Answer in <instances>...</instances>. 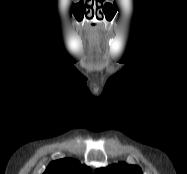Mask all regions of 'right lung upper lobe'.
I'll return each mask as SVG.
<instances>
[{
	"label": "right lung upper lobe",
	"mask_w": 187,
	"mask_h": 174,
	"mask_svg": "<svg viewBox=\"0 0 187 174\" xmlns=\"http://www.w3.org/2000/svg\"><path fill=\"white\" fill-rule=\"evenodd\" d=\"M44 174H92V172L89 167L68 158L51 162Z\"/></svg>",
	"instance_id": "1"
}]
</instances>
